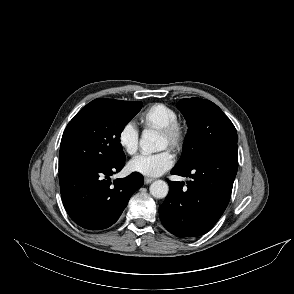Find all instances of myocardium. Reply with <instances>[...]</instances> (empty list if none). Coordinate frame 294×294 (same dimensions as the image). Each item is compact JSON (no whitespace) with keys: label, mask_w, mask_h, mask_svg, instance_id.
I'll return each mask as SVG.
<instances>
[{"label":"myocardium","mask_w":294,"mask_h":294,"mask_svg":"<svg viewBox=\"0 0 294 294\" xmlns=\"http://www.w3.org/2000/svg\"><path fill=\"white\" fill-rule=\"evenodd\" d=\"M159 132L168 139V146L171 149L182 150L187 139V129L184 124L176 121L161 128Z\"/></svg>","instance_id":"1"}]
</instances>
